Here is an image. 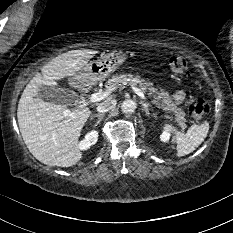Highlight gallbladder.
I'll use <instances>...</instances> for the list:
<instances>
[{"mask_svg":"<svg viewBox=\"0 0 233 233\" xmlns=\"http://www.w3.org/2000/svg\"><path fill=\"white\" fill-rule=\"evenodd\" d=\"M75 96V94H68L58 90L48 89L45 86H40L38 92L39 98L54 104L71 103L75 99Z\"/></svg>","mask_w":233,"mask_h":233,"instance_id":"obj_1","label":"gallbladder"}]
</instances>
